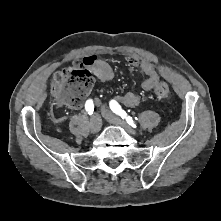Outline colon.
I'll return each instance as SVG.
<instances>
[{
	"mask_svg": "<svg viewBox=\"0 0 221 221\" xmlns=\"http://www.w3.org/2000/svg\"><path fill=\"white\" fill-rule=\"evenodd\" d=\"M84 66L87 64L83 61L82 64L57 72L51 81V89L59 100L72 107L82 105L85 96L94 84L91 72ZM154 92L161 100L171 97L169 86L165 82H159Z\"/></svg>",
	"mask_w": 221,
	"mask_h": 221,
	"instance_id": "1",
	"label": "colon"
}]
</instances>
